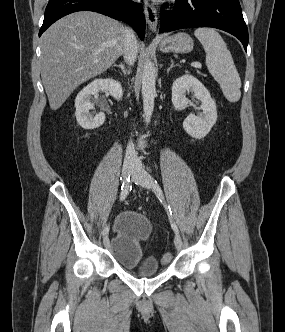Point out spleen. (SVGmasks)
I'll list each match as a JSON object with an SVG mask.
<instances>
[{
	"mask_svg": "<svg viewBox=\"0 0 285 332\" xmlns=\"http://www.w3.org/2000/svg\"><path fill=\"white\" fill-rule=\"evenodd\" d=\"M206 53V66L219 83L225 98L237 102L241 97V79L232 55L221 35L213 28L202 27L194 32Z\"/></svg>",
	"mask_w": 285,
	"mask_h": 332,
	"instance_id": "3e777b00",
	"label": "spleen"
}]
</instances>
